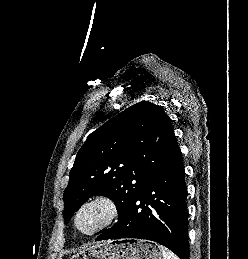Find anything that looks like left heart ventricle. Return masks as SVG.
Here are the masks:
<instances>
[{
    "label": "left heart ventricle",
    "mask_w": 248,
    "mask_h": 259,
    "mask_svg": "<svg viewBox=\"0 0 248 259\" xmlns=\"http://www.w3.org/2000/svg\"><path fill=\"white\" fill-rule=\"evenodd\" d=\"M107 213V209L103 205L89 206L81 212L78 225L82 231H91L105 220Z\"/></svg>",
    "instance_id": "b2bd125f"
}]
</instances>
